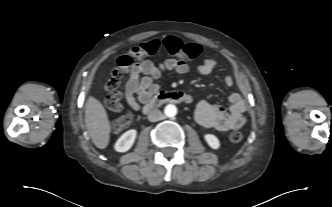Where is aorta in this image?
<instances>
[{
	"label": "aorta",
	"instance_id": "1",
	"mask_svg": "<svg viewBox=\"0 0 332 207\" xmlns=\"http://www.w3.org/2000/svg\"><path fill=\"white\" fill-rule=\"evenodd\" d=\"M164 114L167 117H174L177 114V108L173 104H168L164 108Z\"/></svg>",
	"mask_w": 332,
	"mask_h": 207
}]
</instances>
